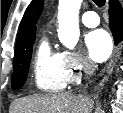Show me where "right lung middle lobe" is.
Returning a JSON list of instances; mask_svg holds the SVG:
<instances>
[{
	"label": "right lung middle lobe",
	"instance_id": "obj_1",
	"mask_svg": "<svg viewBox=\"0 0 123 113\" xmlns=\"http://www.w3.org/2000/svg\"><path fill=\"white\" fill-rule=\"evenodd\" d=\"M34 41L35 36L15 49L14 71L11 79V86L14 90L20 89L26 81Z\"/></svg>",
	"mask_w": 123,
	"mask_h": 113
}]
</instances>
